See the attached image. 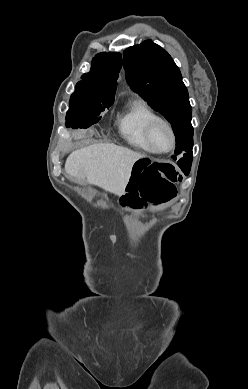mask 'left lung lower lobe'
Masks as SVG:
<instances>
[{
    "label": "left lung lower lobe",
    "mask_w": 248,
    "mask_h": 389,
    "mask_svg": "<svg viewBox=\"0 0 248 389\" xmlns=\"http://www.w3.org/2000/svg\"><path fill=\"white\" fill-rule=\"evenodd\" d=\"M190 128H191V133H193V128L191 125H190ZM192 158H193L192 152L185 153L182 155V157L177 162L178 166L181 168V170L183 171V173L185 175H188L190 172Z\"/></svg>",
    "instance_id": "0a47b994"
}]
</instances>
